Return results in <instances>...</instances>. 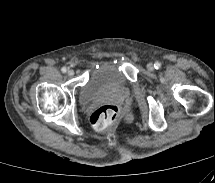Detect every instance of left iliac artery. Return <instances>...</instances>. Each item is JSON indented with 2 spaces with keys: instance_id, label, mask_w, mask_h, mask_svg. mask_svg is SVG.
<instances>
[{
  "instance_id": "1",
  "label": "left iliac artery",
  "mask_w": 215,
  "mask_h": 183,
  "mask_svg": "<svg viewBox=\"0 0 215 183\" xmlns=\"http://www.w3.org/2000/svg\"><path fill=\"white\" fill-rule=\"evenodd\" d=\"M154 67L156 69H160L161 68V63L160 62H155Z\"/></svg>"
}]
</instances>
